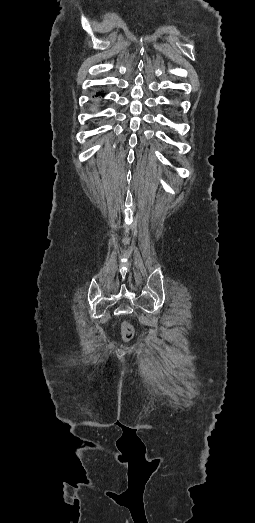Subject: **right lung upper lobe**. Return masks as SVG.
<instances>
[{"instance_id":"1","label":"right lung upper lobe","mask_w":255,"mask_h":523,"mask_svg":"<svg viewBox=\"0 0 255 523\" xmlns=\"http://www.w3.org/2000/svg\"><path fill=\"white\" fill-rule=\"evenodd\" d=\"M99 95L103 96V95H104V93H101V92H100V93H97V96H99Z\"/></svg>"}]
</instances>
